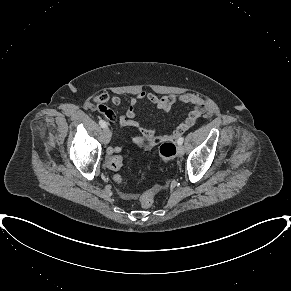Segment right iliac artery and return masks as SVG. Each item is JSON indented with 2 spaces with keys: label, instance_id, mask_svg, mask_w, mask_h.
Masks as SVG:
<instances>
[{
  "label": "right iliac artery",
  "instance_id": "82829eb1",
  "mask_svg": "<svg viewBox=\"0 0 291 291\" xmlns=\"http://www.w3.org/2000/svg\"><path fill=\"white\" fill-rule=\"evenodd\" d=\"M99 124H100V126H101L102 128H105V127H107V124H106V122H105V121H103V120H100V121H99Z\"/></svg>",
  "mask_w": 291,
  "mask_h": 291
}]
</instances>
